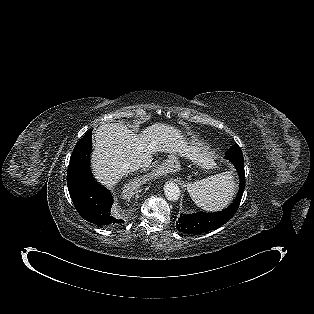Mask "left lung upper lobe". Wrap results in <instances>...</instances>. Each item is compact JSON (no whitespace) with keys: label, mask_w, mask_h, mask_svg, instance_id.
<instances>
[{"label":"left lung upper lobe","mask_w":314,"mask_h":314,"mask_svg":"<svg viewBox=\"0 0 314 314\" xmlns=\"http://www.w3.org/2000/svg\"><path fill=\"white\" fill-rule=\"evenodd\" d=\"M226 157L229 159L232 163L234 162H243V154L240 149V147L237 144H234L231 146L228 151L226 152Z\"/></svg>","instance_id":"5c2ea615"}]
</instances>
